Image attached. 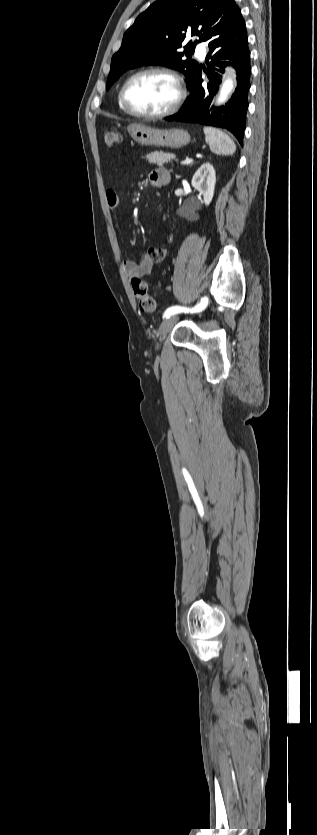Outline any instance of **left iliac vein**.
I'll return each instance as SVG.
<instances>
[{"instance_id":"left-iliac-vein-1","label":"left iliac vein","mask_w":317,"mask_h":835,"mask_svg":"<svg viewBox=\"0 0 317 835\" xmlns=\"http://www.w3.org/2000/svg\"><path fill=\"white\" fill-rule=\"evenodd\" d=\"M176 321H177L176 316H170V317H168V318H166L162 321V323L160 325V328H159V333H158L157 348H159L161 342L165 339L166 335L172 329V327L174 326Z\"/></svg>"}]
</instances>
